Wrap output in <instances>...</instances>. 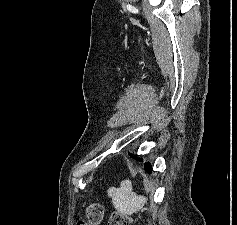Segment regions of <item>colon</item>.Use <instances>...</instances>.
I'll return each instance as SVG.
<instances>
[{
	"label": "colon",
	"mask_w": 237,
	"mask_h": 225,
	"mask_svg": "<svg viewBox=\"0 0 237 225\" xmlns=\"http://www.w3.org/2000/svg\"><path fill=\"white\" fill-rule=\"evenodd\" d=\"M102 219V205L92 203L86 209V219L78 221L76 225H99ZM107 225H133V220L125 214L115 212L110 216Z\"/></svg>",
	"instance_id": "obj_1"
}]
</instances>
